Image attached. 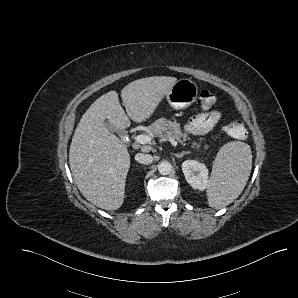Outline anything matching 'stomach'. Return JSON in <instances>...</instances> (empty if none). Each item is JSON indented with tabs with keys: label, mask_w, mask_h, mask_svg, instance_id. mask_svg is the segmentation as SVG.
<instances>
[{
	"label": "stomach",
	"mask_w": 298,
	"mask_h": 298,
	"mask_svg": "<svg viewBox=\"0 0 298 298\" xmlns=\"http://www.w3.org/2000/svg\"><path fill=\"white\" fill-rule=\"evenodd\" d=\"M198 87L189 78L177 79L165 94L169 106L175 110H183L191 106L197 99Z\"/></svg>",
	"instance_id": "0dacf381"
}]
</instances>
